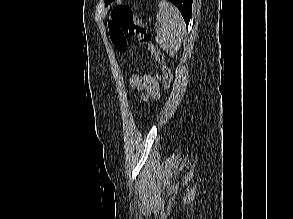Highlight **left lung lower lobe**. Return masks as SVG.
I'll return each instance as SVG.
<instances>
[{
	"label": "left lung lower lobe",
	"instance_id": "0a47b994",
	"mask_svg": "<svg viewBox=\"0 0 293 219\" xmlns=\"http://www.w3.org/2000/svg\"><path fill=\"white\" fill-rule=\"evenodd\" d=\"M172 2L181 12L186 25H188L191 18V9L193 0H169Z\"/></svg>",
	"mask_w": 293,
	"mask_h": 219
}]
</instances>
